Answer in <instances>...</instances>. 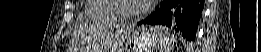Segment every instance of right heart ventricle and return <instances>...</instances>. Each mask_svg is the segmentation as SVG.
Returning a JSON list of instances; mask_svg holds the SVG:
<instances>
[{
    "label": "right heart ventricle",
    "mask_w": 261,
    "mask_h": 52,
    "mask_svg": "<svg viewBox=\"0 0 261 52\" xmlns=\"http://www.w3.org/2000/svg\"><path fill=\"white\" fill-rule=\"evenodd\" d=\"M115 0H89L85 15L88 21L95 24H116L120 19L113 9Z\"/></svg>",
    "instance_id": "right-heart-ventricle-1"
}]
</instances>
